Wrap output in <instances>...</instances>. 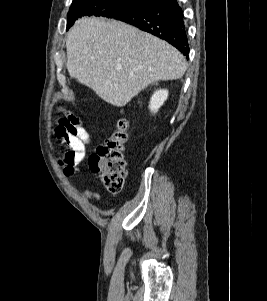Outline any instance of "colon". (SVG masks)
<instances>
[{
    "instance_id": "obj_1",
    "label": "colon",
    "mask_w": 267,
    "mask_h": 301,
    "mask_svg": "<svg viewBox=\"0 0 267 301\" xmlns=\"http://www.w3.org/2000/svg\"><path fill=\"white\" fill-rule=\"evenodd\" d=\"M129 123L126 118H120L116 129L96 151L90 155V169L99 175L107 191L118 195L126 177L125 145L128 141Z\"/></svg>"
}]
</instances>
